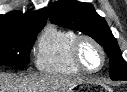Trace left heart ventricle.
Listing matches in <instances>:
<instances>
[{
    "mask_svg": "<svg viewBox=\"0 0 127 92\" xmlns=\"http://www.w3.org/2000/svg\"><path fill=\"white\" fill-rule=\"evenodd\" d=\"M82 63L87 69L96 70L102 63L101 54L90 42H84L80 49Z\"/></svg>",
    "mask_w": 127,
    "mask_h": 92,
    "instance_id": "left-heart-ventricle-1",
    "label": "left heart ventricle"
}]
</instances>
